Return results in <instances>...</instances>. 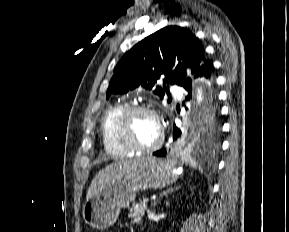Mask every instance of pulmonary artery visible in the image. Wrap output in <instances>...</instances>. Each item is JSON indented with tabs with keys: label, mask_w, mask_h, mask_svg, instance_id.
<instances>
[{
	"label": "pulmonary artery",
	"mask_w": 289,
	"mask_h": 232,
	"mask_svg": "<svg viewBox=\"0 0 289 232\" xmlns=\"http://www.w3.org/2000/svg\"><path fill=\"white\" fill-rule=\"evenodd\" d=\"M171 91L177 97H179L182 94V89L177 85H173L171 87Z\"/></svg>",
	"instance_id": "pulmonary-artery-1"
}]
</instances>
